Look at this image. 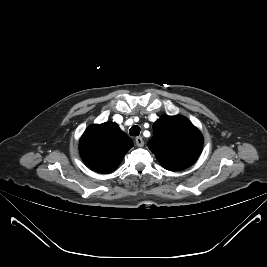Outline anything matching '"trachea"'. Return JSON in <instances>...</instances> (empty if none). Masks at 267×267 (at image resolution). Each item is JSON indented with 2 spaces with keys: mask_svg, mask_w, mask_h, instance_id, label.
<instances>
[{
  "mask_svg": "<svg viewBox=\"0 0 267 267\" xmlns=\"http://www.w3.org/2000/svg\"><path fill=\"white\" fill-rule=\"evenodd\" d=\"M129 134L131 136H138L140 134V127L137 125H134L130 128Z\"/></svg>",
  "mask_w": 267,
  "mask_h": 267,
  "instance_id": "obj_1",
  "label": "trachea"
}]
</instances>
